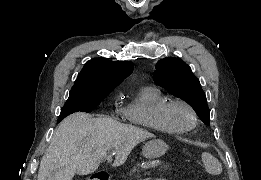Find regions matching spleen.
I'll list each match as a JSON object with an SVG mask.
<instances>
[{
  "mask_svg": "<svg viewBox=\"0 0 261 180\" xmlns=\"http://www.w3.org/2000/svg\"><path fill=\"white\" fill-rule=\"evenodd\" d=\"M202 160L205 164L206 172H209V174H214V176L221 174V164L218 162V160H216V158H213L211 154H202Z\"/></svg>",
  "mask_w": 261,
  "mask_h": 180,
  "instance_id": "obj_1",
  "label": "spleen"
}]
</instances>
